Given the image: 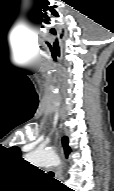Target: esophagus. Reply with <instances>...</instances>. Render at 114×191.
<instances>
[{"label":"esophagus","mask_w":114,"mask_h":191,"mask_svg":"<svg viewBox=\"0 0 114 191\" xmlns=\"http://www.w3.org/2000/svg\"><path fill=\"white\" fill-rule=\"evenodd\" d=\"M55 177L56 179L60 180L61 179V168H58L55 172Z\"/></svg>","instance_id":"34e87169"}]
</instances>
